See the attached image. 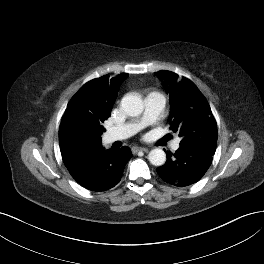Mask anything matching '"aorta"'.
I'll use <instances>...</instances> for the list:
<instances>
[{
  "mask_svg": "<svg viewBox=\"0 0 264 264\" xmlns=\"http://www.w3.org/2000/svg\"><path fill=\"white\" fill-rule=\"evenodd\" d=\"M121 107L129 116H138L144 110L142 99L131 93L122 98ZM148 159L152 165L162 166L166 162V154L162 149L156 148L149 152Z\"/></svg>",
  "mask_w": 264,
  "mask_h": 264,
  "instance_id": "762f6f07",
  "label": "aorta"
}]
</instances>
